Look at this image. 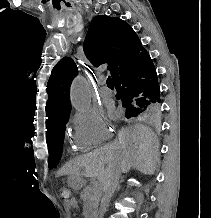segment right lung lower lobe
Instances as JSON below:
<instances>
[{"mask_svg":"<svg viewBox=\"0 0 211 218\" xmlns=\"http://www.w3.org/2000/svg\"><path fill=\"white\" fill-rule=\"evenodd\" d=\"M116 97H130L158 102L160 87L152 60L145 50L131 63L121 67L113 77Z\"/></svg>","mask_w":211,"mask_h":218,"instance_id":"98d812e1","label":"right lung lower lobe"}]
</instances>
